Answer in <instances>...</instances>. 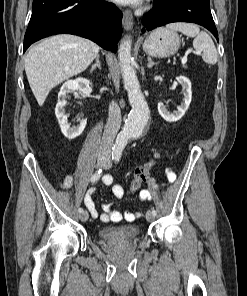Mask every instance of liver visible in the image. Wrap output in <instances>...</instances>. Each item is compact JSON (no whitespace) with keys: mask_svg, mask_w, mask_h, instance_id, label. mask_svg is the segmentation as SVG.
<instances>
[{"mask_svg":"<svg viewBox=\"0 0 247 296\" xmlns=\"http://www.w3.org/2000/svg\"><path fill=\"white\" fill-rule=\"evenodd\" d=\"M99 49L93 41L70 34L52 36L32 47L24 66L39 106L53 87L85 71Z\"/></svg>","mask_w":247,"mask_h":296,"instance_id":"6515ba94","label":"liver"}]
</instances>
